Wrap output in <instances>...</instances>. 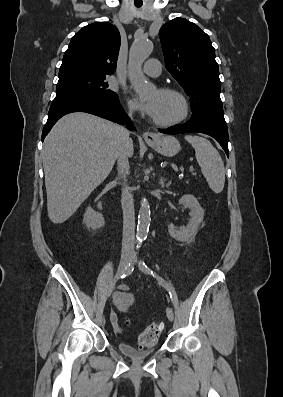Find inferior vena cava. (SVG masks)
<instances>
[{"instance_id": "602c4592", "label": "inferior vena cava", "mask_w": 283, "mask_h": 397, "mask_svg": "<svg viewBox=\"0 0 283 397\" xmlns=\"http://www.w3.org/2000/svg\"><path fill=\"white\" fill-rule=\"evenodd\" d=\"M131 115V112H130ZM130 131L121 128L120 138L122 140V147L117 156L118 173L124 180L126 176L130 173L129 163H128V152L127 145L130 142ZM122 210H123V249H133L134 247V228H135V213H134V201L133 195L130 189L125 187L122 189Z\"/></svg>"}]
</instances>
